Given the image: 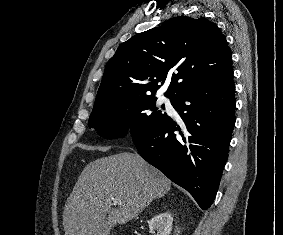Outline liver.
<instances>
[{
	"instance_id": "1",
	"label": "liver",
	"mask_w": 283,
	"mask_h": 235,
	"mask_svg": "<svg viewBox=\"0 0 283 235\" xmlns=\"http://www.w3.org/2000/svg\"><path fill=\"white\" fill-rule=\"evenodd\" d=\"M170 188V180L138 154L94 160L81 172L64 207L65 235H110L115 225L137 217ZM113 198L120 202L114 204Z\"/></svg>"
}]
</instances>
